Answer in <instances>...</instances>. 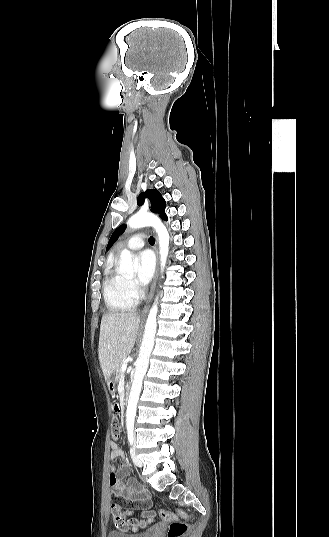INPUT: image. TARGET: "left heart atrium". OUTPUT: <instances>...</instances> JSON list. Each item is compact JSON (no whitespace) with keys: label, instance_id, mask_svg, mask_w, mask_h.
<instances>
[{"label":"left heart atrium","instance_id":"39dd6f15","mask_svg":"<svg viewBox=\"0 0 329 537\" xmlns=\"http://www.w3.org/2000/svg\"><path fill=\"white\" fill-rule=\"evenodd\" d=\"M137 281L141 286H146L151 280L155 269V258L152 252L142 251L138 256Z\"/></svg>","mask_w":329,"mask_h":537}]
</instances>
